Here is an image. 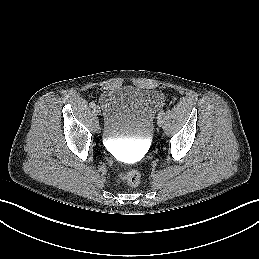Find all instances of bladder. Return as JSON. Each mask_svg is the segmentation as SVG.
I'll use <instances>...</instances> for the list:
<instances>
[{
    "label": "bladder",
    "instance_id": "1",
    "mask_svg": "<svg viewBox=\"0 0 259 259\" xmlns=\"http://www.w3.org/2000/svg\"><path fill=\"white\" fill-rule=\"evenodd\" d=\"M160 104L155 90L125 87L107 92L103 96L105 138L149 140Z\"/></svg>",
    "mask_w": 259,
    "mask_h": 259
}]
</instances>
